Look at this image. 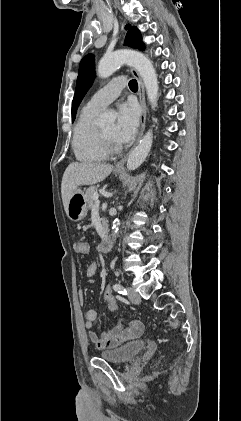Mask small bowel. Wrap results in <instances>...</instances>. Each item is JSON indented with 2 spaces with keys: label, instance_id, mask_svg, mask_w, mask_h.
<instances>
[{
  "label": "small bowel",
  "instance_id": "small-bowel-1",
  "mask_svg": "<svg viewBox=\"0 0 241 421\" xmlns=\"http://www.w3.org/2000/svg\"><path fill=\"white\" fill-rule=\"evenodd\" d=\"M97 271V264L92 262L87 267V276L92 277ZM79 301H84V292L82 289L78 291ZM97 318V311L89 309L86 312L84 326L88 330L87 336L91 343L98 349L116 348L124 343L138 338L144 331V324L139 320H132L125 324L123 320L117 326L110 330L103 331L100 335L92 331L93 324Z\"/></svg>",
  "mask_w": 241,
  "mask_h": 421
}]
</instances>
